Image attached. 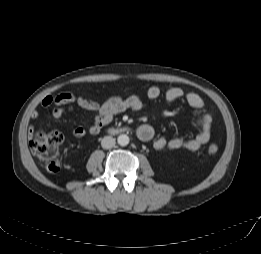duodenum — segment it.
I'll return each instance as SVG.
<instances>
[{"instance_id": "410a0bca", "label": "duodenum", "mask_w": 261, "mask_h": 254, "mask_svg": "<svg viewBox=\"0 0 261 254\" xmlns=\"http://www.w3.org/2000/svg\"><path fill=\"white\" fill-rule=\"evenodd\" d=\"M110 131H112V132H113V131H115V129H114V128H110Z\"/></svg>"}]
</instances>
